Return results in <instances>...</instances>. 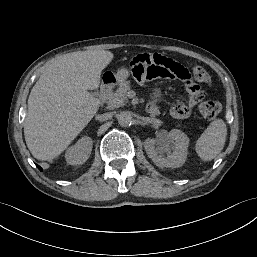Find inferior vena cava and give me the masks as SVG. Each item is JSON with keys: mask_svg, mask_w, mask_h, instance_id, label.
I'll return each mask as SVG.
<instances>
[{"mask_svg": "<svg viewBox=\"0 0 257 257\" xmlns=\"http://www.w3.org/2000/svg\"><path fill=\"white\" fill-rule=\"evenodd\" d=\"M111 117H112V113L111 112H107V113H104V114H101V115H97L96 119H98V120H108Z\"/></svg>", "mask_w": 257, "mask_h": 257, "instance_id": "1", "label": "inferior vena cava"}]
</instances>
